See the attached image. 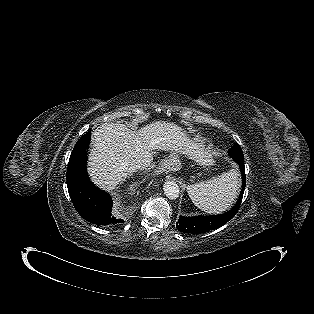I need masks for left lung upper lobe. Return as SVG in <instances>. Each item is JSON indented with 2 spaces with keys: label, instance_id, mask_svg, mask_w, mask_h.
Returning a JSON list of instances; mask_svg holds the SVG:
<instances>
[{
  "label": "left lung upper lobe",
  "instance_id": "5c2ea615",
  "mask_svg": "<svg viewBox=\"0 0 314 314\" xmlns=\"http://www.w3.org/2000/svg\"><path fill=\"white\" fill-rule=\"evenodd\" d=\"M228 154L230 157H232L234 160H243L244 155L241 147L236 143L234 144L228 151Z\"/></svg>",
  "mask_w": 314,
  "mask_h": 314
}]
</instances>
